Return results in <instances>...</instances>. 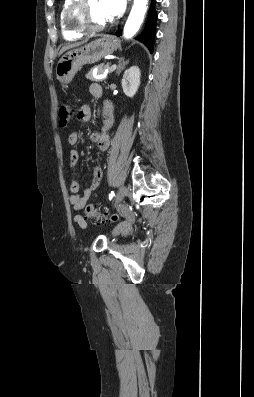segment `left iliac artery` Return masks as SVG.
<instances>
[{"instance_id": "left-iliac-artery-1", "label": "left iliac artery", "mask_w": 254, "mask_h": 397, "mask_svg": "<svg viewBox=\"0 0 254 397\" xmlns=\"http://www.w3.org/2000/svg\"><path fill=\"white\" fill-rule=\"evenodd\" d=\"M114 196H115V194H114V192L112 191V192L109 194V199H112Z\"/></svg>"}]
</instances>
